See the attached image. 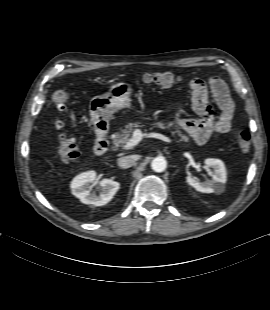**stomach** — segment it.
I'll list each match as a JSON object with an SVG mask.
<instances>
[{"mask_svg":"<svg viewBox=\"0 0 270 310\" xmlns=\"http://www.w3.org/2000/svg\"><path fill=\"white\" fill-rule=\"evenodd\" d=\"M132 92L131 84L120 82L112 85L108 92L92 98L89 111L94 127L107 124L113 113L130 107Z\"/></svg>","mask_w":270,"mask_h":310,"instance_id":"obj_1","label":"stomach"}]
</instances>
